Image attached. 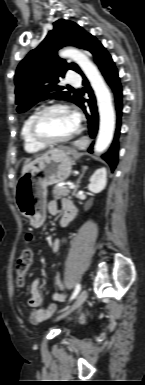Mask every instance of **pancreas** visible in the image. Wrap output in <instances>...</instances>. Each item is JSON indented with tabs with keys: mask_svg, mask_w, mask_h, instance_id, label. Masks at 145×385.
Here are the masks:
<instances>
[{
	"mask_svg": "<svg viewBox=\"0 0 145 385\" xmlns=\"http://www.w3.org/2000/svg\"><path fill=\"white\" fill-rule=\"evenodd\" d=\"M71 190L67 186H59L55 187L53 190L54 198L59 199L64 196H68L70 194Z\"/></svg>",
	"mask_w": 145,
	"mask_h": 385,
	"instance_id": "cf45deb5",
	"label": "pancreas"
}]
</instances>
